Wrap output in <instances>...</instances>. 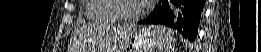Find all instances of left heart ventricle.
Returning <instances> with one entry per match:
<instances>
[{"label": "left heart ventricle", "mask_w": 261, "mask_h": 52, "mask_svg": "<svg viewBox=\"0 0 261 52\" xmlns=\"http://www.w3.org/2000/svg\"><path fill=\"white\" fill-rule=\"evenodd\" d=\"M140 6V1H120L117 10L120 14L131 16L134 15Z\"/></svg>", "instance_id": "left-heart-ventricle-1"}]
</instances>
